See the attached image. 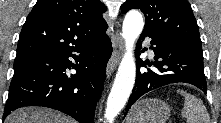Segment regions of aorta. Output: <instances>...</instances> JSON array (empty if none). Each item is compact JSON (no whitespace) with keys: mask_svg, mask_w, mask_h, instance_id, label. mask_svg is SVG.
I'll list each match as a JSON object with an SVG mask.
<instances>
[{"mask_svg":"<svg viewBox=\"0 0 221 123\" xmlns=\"http://www.w3.org/2000/svg\"><path fill=\"white\" fill-rule=\"evenodd\" d=\"M143 27V17L138 11L131 10L126 14L122 26L126 52L121 60L107 99L105 118L109 123H112L123 109L132 92L136 75L133 50L135 41L141 34Z\"/></svg>","mask_w":221,"mask_h":123,"instance_id":"1","label":"aorta"}]
</instances>
